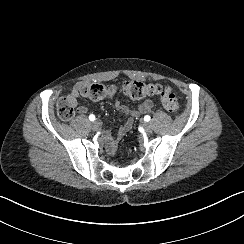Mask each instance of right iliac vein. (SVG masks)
Listing matches in <instances>:
<instances>
[{"label":"right iliac vein","instance_id":"right-iliac-vein-1","mask_svg":"<svg viewBox=\"0 0 244 244\" xmlns=\"http://www.w3.org/2000/svg\"><path fill=\"white\" fill-rule=\"evenodd\" d=\"M91 126H92L93 130H98L100 127V123H99V121L95 120L92 122Z\"/></svg>","mask_w":244,"mask_h":244}]
</instances>
